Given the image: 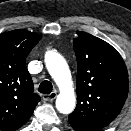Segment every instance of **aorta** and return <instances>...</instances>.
<instances>
[{
	"instance_id": "762f6f07",
	"label": "aorta",
	"mask_w": 131,
	"mask_h": 131,
	"mask_svg": "<svg viewBox=\"0 0 131 131\" xmlns=\"http://www.w3.org/2000/svg\"><path fill=\"white\" fill-rule=\"evenodd\" d=\"M48 72L59 87L60 93L56 99V108L63 114L71 113L75 108L76 98L72 88V79L65 59L54 51L45 55Z\"/></svg>"
}]
</instances>
